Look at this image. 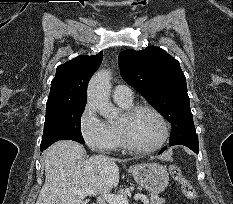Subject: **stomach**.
<instances>
[{"label": "stomach", "instance_id": "stomach-1", "mask_svg": "<svg viewBox=\"0 0 233 204\" xmlns=\"http://www.w3.org/2000/svg\"><path fill=\"white\" fill-rule=\"evenodd\" d=\"M135 181L152 194L165 190L169 183L167 170L158 163H143L130 167Z\"/></svg>", "mask_w": 233, "mask_h": 204}]
</instances>
